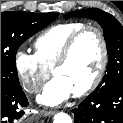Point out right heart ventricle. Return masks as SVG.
<instances>
[{
  "instance_id": "obj_1",
  "label": "right heart ventricle",
  "mask_w": 123,
  "mask_h": 123,
  "mask_svg": "<svg viewBox=\"0 0 123 123\" xmlns=\"http://www.w3.org/2000/svg\"><path fill=\"white\" fill-rule=\"evenodd\" d=\"M84 26L82 22H66L53 25L42 32L34 41L35 55L39 61L49 70L52 69L66 41Z\"/></svg>"
}]
</instances>
